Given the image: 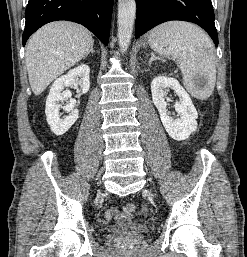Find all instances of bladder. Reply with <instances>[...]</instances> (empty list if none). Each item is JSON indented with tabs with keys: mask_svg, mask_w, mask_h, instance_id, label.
I'll list each match as a JSON object with an SVG mask.
<instances>
[{
	"mask_svg": "<svg viewBox=\"0 0 247 257\" xmlns=\"http://www.w3.org/2000/svg\"><path fill=\"white\" fill-rule=\"evenodd\" d=\"M106 233L115 238L140 239L150 233V228L144 224L121 223L108 227Z\"/></svg>",
	"mask_w": 247,
	"mask_h": 257,
	"instance_id": "obj_1",
	"label": "bladder"
}]
</instances>
